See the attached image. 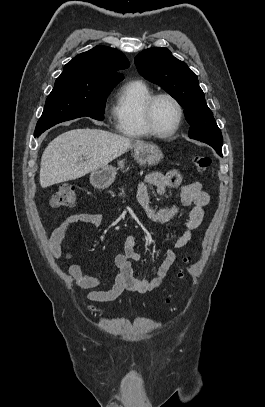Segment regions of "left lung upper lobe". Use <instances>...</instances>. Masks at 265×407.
<instances>
[{"mask_svg":"<svg viewBox=\"0 0 265 407\" xmlns=\"http://www.w3.org/2000/svg\"><path fill=\"white\" fill-rule=\"evenodd\" d=\"M134 60L142 76L165 89L184 108L191 125L189 137L222 151L221 131L206 104L197 76L186 63L161 47L143 50Z\"/></svg>","mask_w":265,"mask_h":407,"instance_id":"1","label":"left lung upper lobe"}]
</instances>
